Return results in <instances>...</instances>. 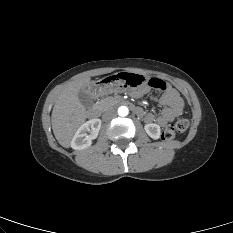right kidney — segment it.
Returning a JSON list of instances; mask_svg holds the SVG:
<instances>
[{
	"label": "right kidney",
	"instance_id": "1",
	"mask_svg": "<svg viewBox=\"0 0 233 233\" xmlns=\"http://www.w3.org/2000/svg\"><path fill=\"white\" fill-rule=\"evenodd\" d=\"M100 128V119H91L82 124L71 141V147L75 150H82L89 147L92 141L97 138Z\"/></svg>",
	"mask_w": 233,
	"mask_h": 233
}]
</instances>
